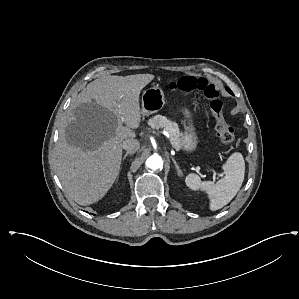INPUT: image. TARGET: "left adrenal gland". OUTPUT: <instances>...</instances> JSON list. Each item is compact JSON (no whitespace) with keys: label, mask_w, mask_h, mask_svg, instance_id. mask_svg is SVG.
<instances>
[{"label":"left adrenal gland","mask_w":299,"mask_h":299,"mask_svg":"<svg viewBox=\"0 0 299 299\" xmlns=\"http://www.w3.org/2000/svg\"><path fill=\"white\" fill-rule=\"evenodd\" d=\"M172 161H173V163H174V165H175V168H176V170H177V173H178V175H182L183 173H182V170L180 169V167H179V165L177 164V162H176V160L174 159V158H172Z\"/></svg>","instance_id":"obj_1"}]
</instances>
